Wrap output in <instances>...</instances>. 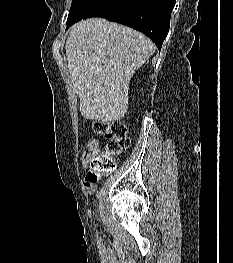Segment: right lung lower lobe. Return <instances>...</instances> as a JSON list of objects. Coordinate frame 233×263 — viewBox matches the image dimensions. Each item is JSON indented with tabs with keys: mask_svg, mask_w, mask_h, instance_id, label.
<instances>
[{
	"mask_svg": "<svg viewBox=\"0 0 233 263\" xmlns=\"http://www.w3.org/2000/svg\"><path fill=\"white\" fill-rule=\"evenodd\" d=\"M175 2L176 0H123L104 18L141 31L160 50L169 31L170 15Z\"/></svg>",
	"mask_w": 233,
	"mask_h": 263,
	"instance_id": "right-lung-lower-lobe-1",
	"label": "right lung lower lobe"
}]
</instances>
